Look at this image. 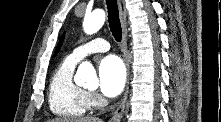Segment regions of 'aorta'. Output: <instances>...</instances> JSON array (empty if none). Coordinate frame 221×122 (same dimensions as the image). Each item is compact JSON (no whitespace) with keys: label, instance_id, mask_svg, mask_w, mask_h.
<instances>
[{"label":"aorta","instance_id":"1","mask_svg":"<svg viewBox=\"0 0 221 122\" xmlns=\"http://www.w3.org/2000/svg\"><path fill=\"white\" fill-rule=\"evenodd\" d=\"M105 12L101 9L95 10L84 18L83 29L86 34H94L103 26ZM75 81L77 84L92 86L98 82L96 71L90 62H82L77 70Z\"/></svg>","mask_w":221,"mask_h":122}]
</instances>
